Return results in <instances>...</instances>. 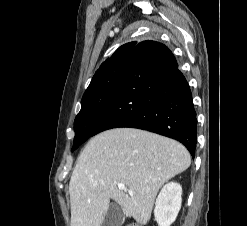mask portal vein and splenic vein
<instances>
[{
	"mask_svg": "<svg viewBox=\"0 0 247 226\" xmlns=\"http://www.w3.org/2000/svg\"><path fill=\"white\" fill-rule=\"evenodd\" d=\"M117 186H118V188H119L120 190H126L125 185L122 184V183L117 184ZM128 192H129L130 194H132V192H131L130 190H128Z\"/></svg>",
	"mask_w": 247,
	"mask_h": 226,
	"instance_id": "obj_1",
	"label": "portal vein and splenic vein"
}]
</instances>
